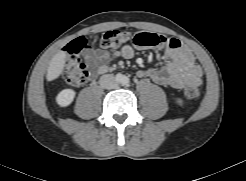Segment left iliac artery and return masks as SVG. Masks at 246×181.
Masks as SVG:
<instances>
[{"label": "left iliac artery", "instance_id": "obj_1", "mask_svg": "<svg viewBox=\"0 0 246 181\" xmlns=\"http://www.w3.org/2000/svg\"><path fill=\"white\" fill-rule=\"evenodd\" d=\"M123 83L124 84H128L129 83V78L128 77H124L123 78Z\"/></svg>", "mask_w": 246, "mask_h": 181}]
</instances>
